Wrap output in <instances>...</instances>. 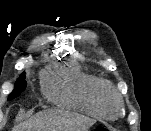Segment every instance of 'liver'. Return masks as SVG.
<instances>
[{
  "instance_id": "liver-1",
  "label": "liver",
  "mask_w": 151,
  "mask_h": 131,
  "mask_svg": "<svg viewBox=\"0 0 151 131\" xmlns=\"http://www.w3.org/2000/svg\"><path fill=\"white\" fill-rule=\"evenodd\" d=\"M95 120L67 110L40 112L12 131H88Z\"/></svg>"
}]
</instances>
